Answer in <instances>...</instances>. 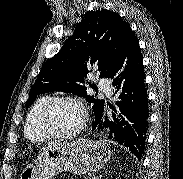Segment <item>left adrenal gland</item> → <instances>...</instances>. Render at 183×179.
<instances>
[{"instance_id": "left-adrenal-gland-1", "label": "left adrenal gland", "mask_w": 183, "mask_h": 179, "mask_svg": "<svg viewBox=\"0 0 183 179\" xmlns=\"http://www.w3.org/2000/svg\"><path fill=\"white\" fill-rule=\"evenodd\" d=\"M100 178H101V176L93 177L92 179H100Z\"/></svg>"}]
</instances>
